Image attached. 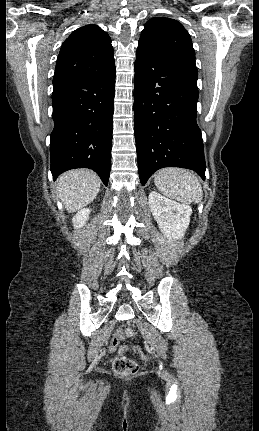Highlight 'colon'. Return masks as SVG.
<instances>
[{
  "instance_id": "obj_1",
  "label": "colon",
  "mask_w": 259,
  "mask_h": 431,
  "mask_svg": "<svg viewBox=\"0 0 259 431\" xmlns=\"http://www.w3.org/2000/svg\"><path fill=\"white\" fill-rule=\"evenodd\" d=\"M134 335V331L130 326H122L116 330L112 340L111 348L116 349L119 343L125 339H129ZM128 351L127 347H121L119 350V356L115 358L113 362L114 371L121 376H132L138 371V364L135 360L125 357V353ZM138 355L145 359L146 353L139 347L135 348Z\"/></svg>"
}]
</instances>
